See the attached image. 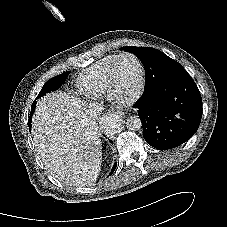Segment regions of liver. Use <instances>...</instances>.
I'll return each mask as SVG.
<instances>
[{
	"instance_id": "1",
	"label": "liver",
	"mask_w": 227,
	"mask_h": 227,
	"mask_svg": "<svg viewBox=\"0 0 227 227\" xmlns=\"http://www.w3.org/2000/svg\"><path fill=\"white\" fill-rule=\"evenodd\" d=\"M89 106L64 92L38 100L33 139L49 172L73 186L92 185L101 170L102 146Z\"/></svg>"
}]
</instances>
